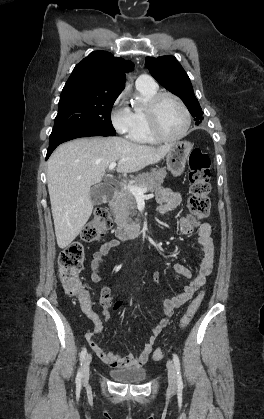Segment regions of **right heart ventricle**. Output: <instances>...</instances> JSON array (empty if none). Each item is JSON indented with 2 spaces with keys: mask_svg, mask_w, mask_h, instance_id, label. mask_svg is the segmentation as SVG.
I'll list each match as a JSON object with an SVG mask.
<instances>
[{
  "mask_svg": "<svg viewBox=\"0 0 264 419\" xmlns=\"http://www.w3.org/2000/svg\"><path fill=\"white\" fill-rule=\"evenodd\" d=\"M136 87L140 97V103L132 105L129 110L132 123L128 136L132 141L137 143L153 144L157 140L150 132L146 106L149 99L158 92V87L156 84L153 86L136 85Z\"/></svg>",
  "mask_w": 264,
  "mask_h": 419,
  "instance_id": "e07e8e85",
  "label": "right heart ventricle"
}]
</instances>
